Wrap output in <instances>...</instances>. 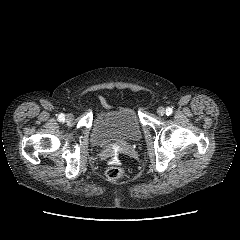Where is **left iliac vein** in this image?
Segmentation results:
<instances>
[{"instance_id":"left-iliac-vein-1","label":"left iliac vein","mask_w":240,"mask_h":240,"mask_svg":"<svg viewBox=\"0 0 240 240\" xmlns=\"http://www.w3.org/2000/svg\"><path fill=\"white\" fill-rule=\"evenodd\" d=\"M165 112H166V110H165L164 107H159V108L157 109V113H158V115H160V116L165 115Z\"/></svg>"}]
</instances>
